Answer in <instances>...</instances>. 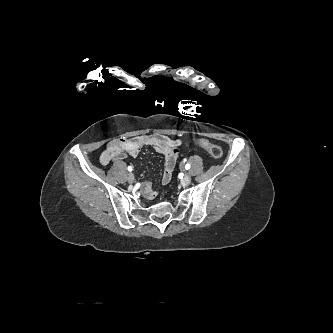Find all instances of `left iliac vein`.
<instances>
[{"instance_id":"4c4485c4","label":"left iliac vein","mask_w":333,"mask_h":333,"mask_svg":"<svg viewBox=\"0 0 333 333\" xmlns=\"http://www.w3.org/2000/svg\"><path fill=\"white\" fill-rule=\"evenodd\" d=\"M190 183H191V177H190L189 174L185 173L184 178H183L182 181H181V184H182L183 186H187V185H189Z\"/></svg>"}]
</instances>
